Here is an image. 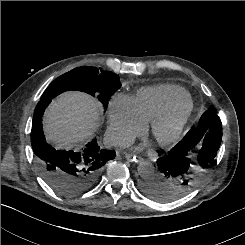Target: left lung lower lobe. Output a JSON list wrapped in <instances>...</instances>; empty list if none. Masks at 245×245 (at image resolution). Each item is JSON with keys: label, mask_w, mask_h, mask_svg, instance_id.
Here are the masks:
<instances>
[{"label": "left lung lower lobe", "mask_w": 245, "mask_h": 245, "mask_svg": "<svg viewBox=\"0 0 245 245\" xmlns=\"http://www.w3.org/2000/svg\"><path fill=\"white\" fill-rule=\"evenodd\" d=\"M221 140V120L215 112L207 110L198 126L157 160L158 179L144 184V191L155 199L168 200L192 187L202 170L215 161Z\"/></svg>", "instance_id": "left-lung-lower-lobe-1"}]
</instances>
